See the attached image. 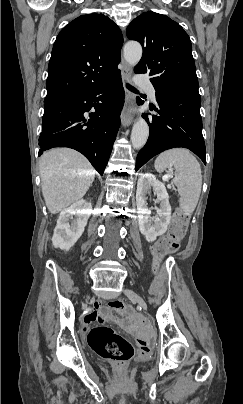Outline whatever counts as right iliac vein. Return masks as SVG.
I'll return each mask as SVG.
<instances>
[{
	"mask_svg": "<svg viewBox=\"0 0 243 404\" xmlns=\"http://www.w3.org/2000/svg\"><path fill=\"white\" fill-rule=\"evenodd\" d=\"M88 299H89V296H87V299H86V301H88Z\"/></svg>",
	"mask_w": 243,
	"mask_h": 404,
	"instance_id": "right-iliac-vein-1",
	"label": "right iliac vein"
}]
</instances>
